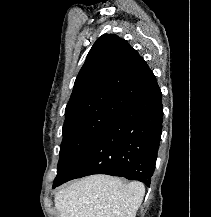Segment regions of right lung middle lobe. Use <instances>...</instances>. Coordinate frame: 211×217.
Listing matches in <instances>:
<instances>
[{
  "instance_id": "right-lung-middle-lobe-1",
  "label": "right lung middle lobe",
  "mask_w": 211,
  "mask_h": 217,
  "mask_svg": "<svg viewBox=\"0 0 211 217\" xmlns=\"http://www.w3.org/2000/svg\"><path fill=\"white\" fill-rule=\"evenodd\" d=\"M116 115L99 112L64 122L63 141L55 179H61L72 168Z\"/></svg>"
}]
</instances>
